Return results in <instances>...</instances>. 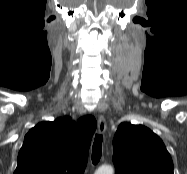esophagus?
Returning a JSON list of instances; mask_svg holds the SVG:
<instances>
[{
  "label": "esophagus",
  "instance_id": "34e87169",
  "mask_svg": "<svg viewBox=\"0 0 187 174\" xmlns=\"http://www.w3.org/2000/svg\"><path fill=\"white\" fill-rule=\"evenodd\" d=\"M97 123H98V132L100 134H103L105 132V130H106V121H105V118L102 115H100L98 117Z\"/></svg>",
  "mask_w": 187,
  "mask_h": 174
}]
</instances>
